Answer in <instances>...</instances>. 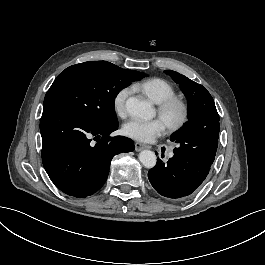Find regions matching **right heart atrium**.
Instances as JSON below:
<instances>
[{
	"instance_id": "right-heart-atrium-1",
	"label": "right heart atrium",
	"mask_w": 265,
	"mask_h": 265,
	"mask_svg": "<svg viewBox=\"0 0 265 265\" xmlns=\"http://www.w3.org/2000/svg\"><path fill=\"white\" fill-rule=\"evenodd\" d=\"M130 96V91L127 88L120 89L115 102V113L120 119H125L128 116L126 104Z\"/></svg>"
}]
</instances>
